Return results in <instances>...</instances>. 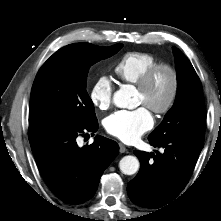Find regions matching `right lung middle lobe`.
Segmentation results:
<instances>
[{"label": "right lung middle lobe", "instance_id": "obj_1", "mask_svg": "<svg viewBox=\"0 0 221 221\" xmlns=\"http://www.w3.org/2000/svg\"><path fill=\"white\" fill-rule=\"evenodd\" d=\"M122 47L74 43L54 53L38 72L30 96L29 125L59 122L87 126L97 121L86 91L89 68Z\"/></svg>", "mask_w": 221, "mask_h": 221}]
</instances>
